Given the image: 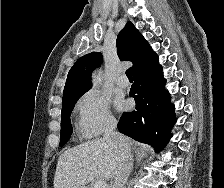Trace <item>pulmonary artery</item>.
<instances>
[{
	"label": "pulmonary artery",
	"instance_id": "e3ab8cb5",
	"mask_svg": "<svg viewBox=\"0 0 224 188\" xmlns=\"http://www.w3.org/2000/svg\"><path fill=\"white\" fill-rule=\"evenodd\" d=\"M117 86L121 88H126L129 85L128 79L125 75H120L116 80Z\"/></svg>",
	"mask_w": 224,
	"mask_h": 188
}]
</instances>
